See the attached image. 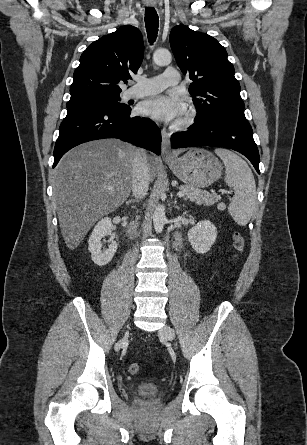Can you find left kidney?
Listing matches in <instances>:
<instances>
[{"mask_svg":"<svg viewBox=\"0 0 307 445\" xmlns=\"http://www.w3.org/2000/svg\"><path fill=\"white\" fill-rule=\"evenodd\" d=\"M217 237L216 227L210 223V220H199V223L189 229L188 239L192 249L196 253H207L210 247L214 245Z\"/></svg>","mask_w":307,"mask_h":445,"instance_id":"obj_1","label":"left kidney"}]
</instances>
